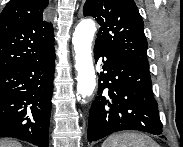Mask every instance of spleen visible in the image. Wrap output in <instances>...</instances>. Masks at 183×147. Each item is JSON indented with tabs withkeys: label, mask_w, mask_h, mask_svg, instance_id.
<instances>
[{
	"label": "spleen",
	"mask_w": 183,
	"mask_h": 147,
	"mask_svg": "<svg viewBox=\"0 0 183 147\" xmlns=\"http://www.w3.org/2000/svg\"><path fill=\"white\" fill-rule=\"evenodd\" d=\"M102 147H159V145L145 134L124 132L109 136Z\"/></svg>",
	"instance_id": "obj_1"
}]
</instances>
